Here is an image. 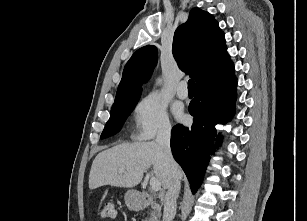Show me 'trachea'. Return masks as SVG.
Returning a JSON list of instances; mask_svg holds the SVG:
<instances>
[{
	"label": "trachea",
	"mask_w": 307,
	"mask_h": 221,
	"mask_svg": "<svg viewBox=\"0 0 307 221\" xmlns=\"http://www.w3.org/2000/svg\"><path fill=\"white\" fill-rule=\"evenodd\" d=\"M188 90H194V80L190 79L188 81Z\"/></svg>",
	"instance_id": "3493384b"
}]
</instances>
